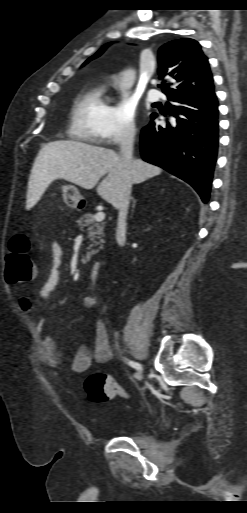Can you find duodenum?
I'll use <instances>...</instances> for the list:
<instances>
[{
    "label": "duodenum",
    "instance_id": "1",
    "mask_svg": "<svg viewBox=\"0 0 247 513\" xmlns=\"http://www.w3.org/2000/svg\"><path fill=\"white\" fill-rule=\"evenodd\" d=\"M101 262H95L92 266L91 277L94 281H97L101 272Z\"/></svg>",
    "mask_w": 247,
    "mask_h": 513
}]
</instances>
